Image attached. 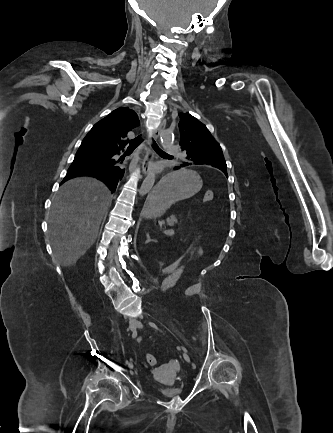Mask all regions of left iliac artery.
<instances>
[{"instance_id": "obj_1", "label": "left iliac artery", "mask_w": 333, "mask_h": 433, "mask_svg": "<svg viewBox=\"0 0 333 433\" xmlns=\"http://www.w3.org/2000/svg\"><path fill=\"white\" fill-rule=\"evenodd\" d=\"M149 325H150L153 329H155V330H158V329H159L158 326H157L155 323H153V322H149ZM180 348H181L183 351L187 352V350H186L185 347L180 346Z\"/></svg>"}]
</instances>
